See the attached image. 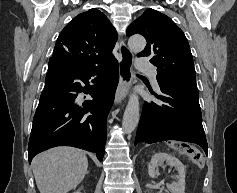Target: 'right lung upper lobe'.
<instances>
[{"label":"right lung upper lobe","mask_w":237,"mask_h":193,"mask_svg":"<svg viewBox=\"0 0 237 193\" xmlns=\"http://www.w3.org/2000/svg\"><path fill=\"white\" fill-rule=\"evenodd\" d=\"M117 32L107 17L93 8L77 15L60 33L49 64L76 72L103 66L115 58L111 54Z\"/></svg>","instance_id":"obj_1"}]
</instances>
